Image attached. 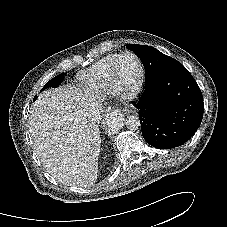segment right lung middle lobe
<instances>
[{"mask_svg":"<svg viewBox=\"0 0 227 227\" xmlns=\"http://www.w3.org/2000/svg\"><path fill=\"white\" fill-rule=\"evenodd\" d=\"M64 77V73H61L59 75H57L56 77H54L53 79H51L50 81H48L45 86L43 87L44 89L47 88H51V87H58L59 84L61 83L62 78ZM35 99V98H34Z\"/></svg>","mask_w":227,"mask_h":227,"instance_id":"1","label":"right lung middle lobe"}]
</instances>
